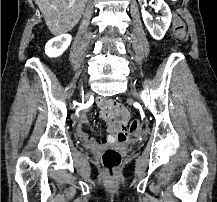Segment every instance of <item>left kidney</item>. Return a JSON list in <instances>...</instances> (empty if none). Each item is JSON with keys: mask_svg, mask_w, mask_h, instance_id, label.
Returning a JSON list of instances; mask_svg holds the SVG:
<instances>
[{"mask_svg": "<svg viewBox=\"0 0 217 202\" xmlns=\"http://www.w3.org/2000/svg\"><path fill=\"white\" fill-rule=\"evenodd\" d=\"M138 2L142 4L145 0H138ZM154 8L155 12H160L161 14L158 18L160 22H153V16H151L149 12H146L144 6H142L141 14L143 22L154 40H162L171 24L172 14L164 0H157V4Z\"/></svg>", "mask_w": 217, "mask_h": 202, "instance_id": "5707ae66", "label": "left kidney"}]
</instances>
